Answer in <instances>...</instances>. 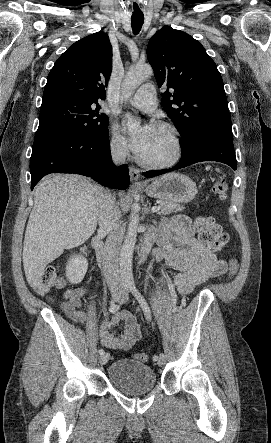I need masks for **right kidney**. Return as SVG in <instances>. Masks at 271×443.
<instances>
[{"instance_id": "right-kidney-1", "label": "right kidney", "mask_w": 271, "mask_h": 443, "mask_svg": "<svg viewBox=\"0 0 271 443\" xmlns=\"http://www.w3.org/2000/svg\"><path fill=\"white\" fill-rule=\"evenodd\" d=\"M88 267V261L83 255L72 257L66 265V277L71 283H80Z\"/></svg>"}]
</instances>
